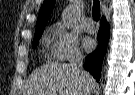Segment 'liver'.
Listing matches in <instances>:
<instances>
[{"instance_id": "obj_1", "label": "liver", "mask_w": 135, "mask_h": 95, "mask_svg": "<svg viewBox=\"0 0 135 95\" xmlns=\"http://www.w3.org/2000/svg\"><path fill=\"white\" fill-rule=\"evenodd\" d=\"M89 75V74H88ZM92 89L95 80L89 75ZM83 95L85 84L79 74L69 64H47L34 71L30 76L25 95Z\"/></svg>"}]
</instances>
